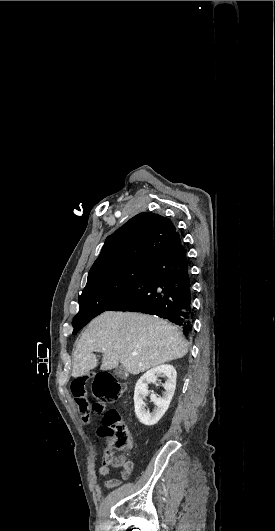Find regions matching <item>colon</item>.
Returning <instances> with one entry per match:
<instances>
[{
    "label": "colon",
    "instance_id": "1",
    "mask_svg": "<svg viewBox=\"0 0 275 531\" xmlns=\"http://www.w3.org/2000/svg\"><path fill=\"white\" fill-rule=\"evenodd\" d=\"M92 389L95 402L92 409H98L101 415V425L97 431L99 437L108 441L106 448L107 469L118 467L124 457L129 452L132 445V435L129 425L122 419L117 409L103 411L106 404L115 402L121 394L127 391L128 384L124 379L114 377L107 370H100L94 375L92 384V374L83 373L77 379L68 380V393L72 394V400L77 401V422H88V411L90 404L83 396ZM131 465H127L122 470V478L128 479L131 474ZM109 486L120 484L117 479H110Z\"/></svg>",
    "mask_w": 275,
    "mask_h": 531
}]
</instances>
